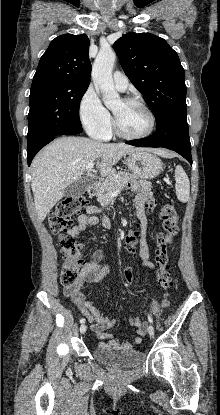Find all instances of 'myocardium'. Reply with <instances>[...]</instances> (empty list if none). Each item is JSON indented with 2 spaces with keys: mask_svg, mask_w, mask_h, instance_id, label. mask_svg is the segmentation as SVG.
<instances>
[{
  "mask_svg": "<svg viewBox=\"0 0 220 415\" xmlns=\"http://www.w3.org/2000/svg\"><path fill=\"white\" fill-rule=\"evenodd\" d=\"M121 101L125 104L138 105L141 108H143L149 116L150 125H149L148 130L145 133L140 134V135H130V134L125 133L120 128L118 120H117L116 116L113 113V129H114V132L119 137L127 139V140H141V139L149 137L153 133V131L155 130V127H156V117H155V114H154L153 110L144 101H142L138 98L127 97V98L122 99Z\"/></svg>",
  "mask_w": 220,
  "mask_h": 415,
  "instance_id": "myocardium-1",
  "label": "myocardium"
}]
</instances>
